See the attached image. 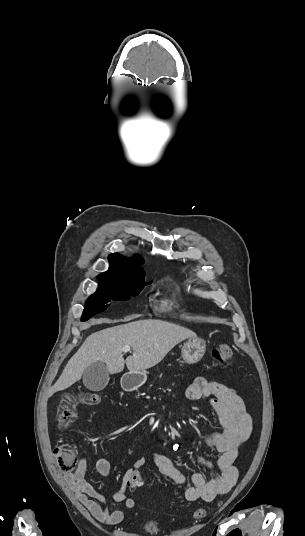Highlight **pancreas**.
<instances>
[{
	"mask_svg": "<svg viewBox=\"0 0 305 536\" xmlns=\"http://www.w3.org/2000/svg\"><path fill=\"white\" fill-rule=\"evenodd\" d=\"M162 374H160L159 378H161Z\"/></svg>",
	"mask_w": 305,
	"mask_h": 536,
	"instance_id": "pancreas-1",
	"label": "pancreas"
}]
</instances>
